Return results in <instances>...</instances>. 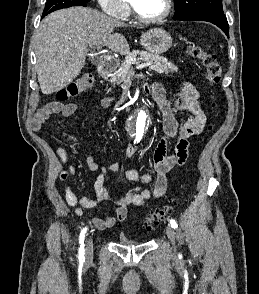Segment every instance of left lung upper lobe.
Wrapping results in <instances>:
<instances>
[{
  "label": "left lung upper lobe",
  "mask_w": 259,
  "mask_h": 294,
  "mask_svg": "<svg viewBox=\"0 0 259 294\" xmlns=\"http://www.w3.org/2000/svg\"><path fill=\"white\" fill-rule=\"evenodd\" d=\"M174 18L185 17L200 12L224 13L222 0H176Z\"/></svg>",
  "instance_id": "1"
}]
</instances>
